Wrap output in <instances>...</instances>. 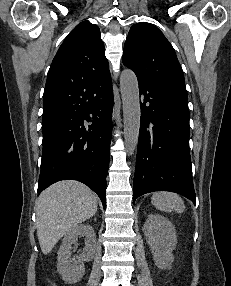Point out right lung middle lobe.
I'll use <instances>...</instances> for the list:
<instances>
[{
	"label": "right lung middle lobe",
	"instance_id": "1",
	"mask_svg": "<svg viewBox=\"0 0 231 286\" xmlns=\"http://www.w3.org/2000/svg\"><path fill=\"white\" fill-rule=\"evenodd\" d=\"M51 114V112L50 111H44V113H43V117H47V116H49Z\"/></svg>",
	"mask_w": 231,
	"mask_h": 286
}]
</instances>
